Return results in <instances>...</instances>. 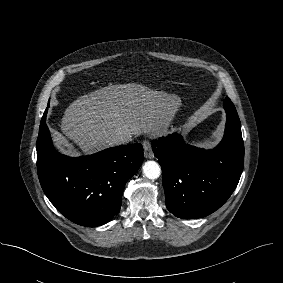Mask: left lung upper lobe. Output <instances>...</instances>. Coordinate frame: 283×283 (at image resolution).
Returning <instances> with one entry per match:
<instances>
[{"mask_svg": "<svg viewBox=\"0 0 283 283\" xmlns=\"http://www.w3.org/2000/svg\"><path fill=\"white\" fill-rule=\"evenodd\" d=\"M224 101H231L228 97H226V99Z\"/></svg>", "mask_w": 283, "mask_h": 283, "instance_id": "5c2ea615", "label": "left lung upper lobe"}]
</instances>
